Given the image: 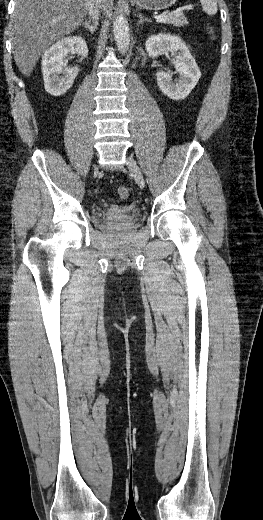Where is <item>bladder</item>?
Listing matches in <instances>:
<instances>
[{"mask_svg":"<svg viewBox=\"0 0 263 520\" xmlns=\"http://www.w3.org/2000/svg\"><path fill=\"white\" fill-rule=\"evenodd\" d=\"M136 221V217L135 216H132L128 219L125 220V223L127 224H131V223H134Z\"/></svg>","mask_w":263,"mask_h":520,"instance_id":"31cf9c89","label":"bladder"}]
</instances>
